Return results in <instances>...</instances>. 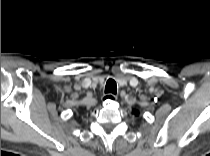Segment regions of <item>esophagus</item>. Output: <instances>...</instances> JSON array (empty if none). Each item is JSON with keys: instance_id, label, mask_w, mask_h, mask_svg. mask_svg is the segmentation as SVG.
Returning <instances> with one entry per match:
<instances>
[{"instance_id": "esophagus-1", "label": "esophagus", "mask_w": 210, "mask_h": 156, "mask_svg": "<svg viewBox=\"0 0 210 156\" xmlns=\"http://www.w3.org/2000/svg\"><path fill=\"white\" fill-rule=\"evenodd\" d=\"M116 99H117V96L114 95V94H111V93L105 94L102 97V100H103L104 103H107L108 101H113V100H116Z\"/></svg>"}]
</instances>
